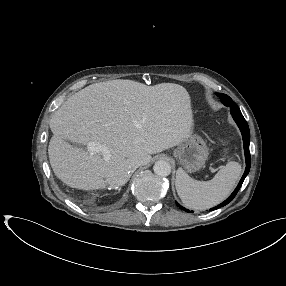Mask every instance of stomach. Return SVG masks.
<instances>
[{
	"label": "stomach",
	"mask_w": 286,
	"mask_h": 286,
	"mask_svg": "<svg viewBox=\"0 0 286 286\" xmlns=\"http://www.w3.org/2000/svg\"><path fill=\"white\" fill-rule=\"evenodd\" d=\"M174 157L188 172L200 170L208 157L205 141L196 134H191L174 150Z\"/></svg>",
	"instance_id": "1"
}]
</instances>
